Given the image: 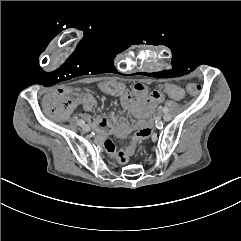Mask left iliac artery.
I'll return each instance as SVG.
<instances>
[{
	"mask_svg": "<svg viewBox=\"0 0 241 241\" xmlns=\"http://www.w3.org/2000/svg\"><path fill=\"white\" fill-rule=\"evenodd\" d=\"M162 110H163L164 113H167V112H168V108H167V107H163Z\"/></svg>",
	"mask_w": 241,
	"mask_h": 241,
	"instance_id": "obj_1",
	"label": "left iliac artery"
}]
</instances>
